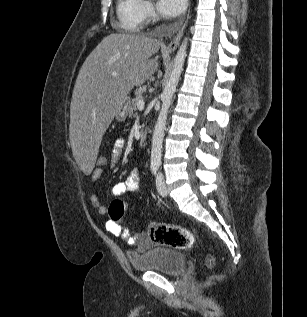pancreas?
<instances>
[{
    "instance_id": "pancreas-1",
    "label": "pancreas",
    "mask_w": 307,
    "mask_h": 317,
    "mask_svg": "<svg viewBox=\"0 0 307 317\" xmlns=\"http://www.w3.org/2000/svg\"><path fill=\"white\" fill-rule=\"evenodd\" d=\"M135 95H136V97L132 100V102L128 106V115L130 117L135 115V112L137 111L138 101L143 100L141 90H136Z\"/></svg>"
}]
</instances>
